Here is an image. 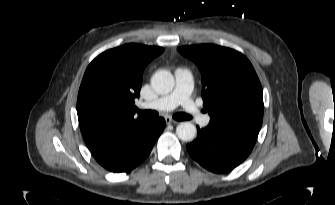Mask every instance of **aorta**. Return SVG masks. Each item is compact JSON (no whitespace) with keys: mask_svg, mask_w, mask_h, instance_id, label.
Wrapping results in <instances>:
<instances>
[{"mask_svg":"<svg viewBox=\"0 0 335 205\" xmlns=\"http://www.w3.org/2000/svg\"><path fill=\"white\" fill-rule=\"evenodd\" d=\"M152 88L159 94H168L174 87V77L167 70L157 71L151 78ZM176 134L182 141H192L195 139L197 129L190 122H182L176 128Z\"/></svg>","mask_w":335,"mask_h":205,"instance_id":"1","label":"aorta"}]
</instances>
